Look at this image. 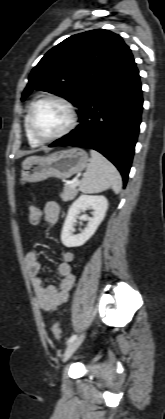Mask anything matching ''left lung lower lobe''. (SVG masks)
I'll use <instances>...</instances> for the list:
<instances>
[{"instance_id": "0a47b994", "label": "left lung lower lobe", "mask_w": 165, "mask_h": 419, "mask_svg": "<svg viewBox=\"0 0 165 419\" xmlns=\"http://www.w3.org/2000/svg\"><path fill=\"white\" fill-rule=\"evenodd\" d=\"M139 71L132 58L106 80L78 112L80 124L50 147L80 146L97 150L120 171L126 185L142 112Z\"/></svg>"}]
</instances>
